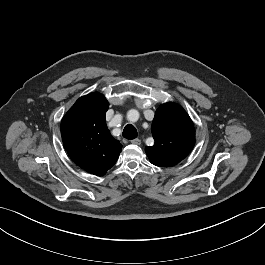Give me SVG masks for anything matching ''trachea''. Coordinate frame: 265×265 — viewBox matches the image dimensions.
<instances>
[{
  "label": "trachea",
  "instance_id": "obj_1",
  "mask_svg": "<svg viewBox=\"0 0 265 265\" xmlns=\"http://www.w3.org/2000/svg\"><path fill=\"white\" fill-rule=\"evenodd\" d=\"M122 135L124 138L132 140L137 137V130L133 125L128 124L125 126Z\"/></svg>",
  "mask_w": 265,
  "mask_h": 265
}]
</instances>
